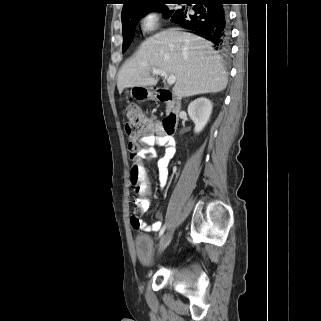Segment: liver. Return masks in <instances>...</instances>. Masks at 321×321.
I'll return each mask as SVG.
<instances>
[{
	"mask_svg": "<svg viewBox=\"0 0 321 321\" xmlns=\"http://www.w3.org/2000/svg\"><path fill=\"white\" fill-rule=\"evenodd\" d=\"M160 69L176 77L173 92L179 97L217 93L226 88L227 74L212 43L197 35L168 29L146 39L135 56L119 72L117 88L157 84L150 76Z\"/></svg>",
	"mask_w": 321,
	"mask_h": 321,
	"instance_id": "obj_1",
	"label": "liver"
}]
</instances>
